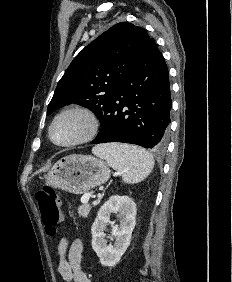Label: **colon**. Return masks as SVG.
Segmentation results:
<instances>
[{"label":"colon","mask_w":232,"mask_h":282,"mask_svg":"<svg viewBox=\"0 0 232 282\" xmlns=\"http://www.w3.org/2000/svg\"><path fill=\"white\" fill-rule=\"evenodd\" d=\"M45 231L53 236L61 221V200L55 189L44 187L35 195Z\"/></svg>","instance_id":"obj_1"}]
</instances>
